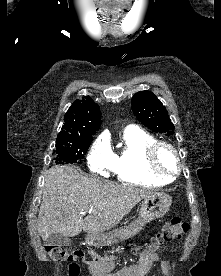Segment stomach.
Segmentation results:
<instances>
[{
	"instance_id": "obj_1",
	"label": "stomach",
	"mask_w": 221,
	"mask_h": 276,
	"mask_svg": "<svg viewBox=\"0 0 221 276\" xmlns=\"http://www.w3.org/2000/svg\"><path fill=\"white\" fill-rule=\"evenodd\" d=\"M172 204V198L165 193H153L143 199L139 217L129 226L111 233L90 234L86 242L91 246H110L114 243L127 240L138 234L146 223L153 219L163 217Z\"/></svg>"
}]
</instances>
